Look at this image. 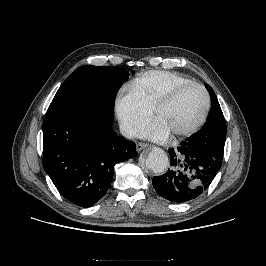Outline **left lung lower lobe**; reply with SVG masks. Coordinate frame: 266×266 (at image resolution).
<instances>
[{
  "label": "left lung lower lobe",
  "instance_id": "0a47b994",
  "mask_svg": "<svg viewBox=\"0 0 266 266\" xmlns=\"http://www.w3.org/2000/svg\"><path fill=\"white\" fill-rule=\"evenodd\" d=\"M170 168L152 183L156 192L172 202L182 203L202 194L219 171L222 160L215 158L187 142L168 149Z\"/></svg>",
  "mask_w": 266,
  "mask_h": 266
}]
</instances>
